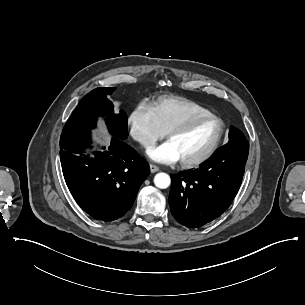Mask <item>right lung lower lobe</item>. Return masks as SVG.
<instances>
[{"label":"right lung lower lobe","mask_w":305,"mask_h":305,"mask_svg":"<svg viewBox=\"0 0 305 305\" xmlns=\"http://www.w3.org/2000/svg\"><path fill=\"white\" fill-rule=\"evenodd\" d=\"M90 132L62 134L60 160L66 184L78 205L97 220L122 217L133 205L150 173L148 163L123 139H111L109 151L85 156Z\"/></svg>","instance_id":"right-lung-lower-lobe-1"}]
</instances>
